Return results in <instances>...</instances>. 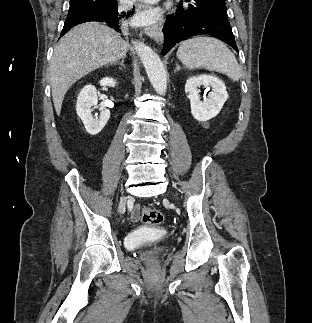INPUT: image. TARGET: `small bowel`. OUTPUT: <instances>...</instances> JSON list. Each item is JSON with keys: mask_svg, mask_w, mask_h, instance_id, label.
<instances>
[{"mask_svg": "<svg viewBox=\"0 0 312 323\" xmlns=\"http://www.w3.org/2000/svg\"><path fill=\"white\" fill-rule=\"evenodd\" d=\"M140 218L139 207L135 206L131 212V219L134 222H137Z\"/></svg>", "mask_w": 312, "mask_h": 323, "instance_id": "1", "label": "small bowel"}]
</instances>
